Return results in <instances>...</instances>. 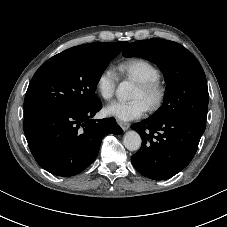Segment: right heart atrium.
<instances>
[{"label":"right heart atrium","instance_id":"d8ad5b80","mask_svg":"<svg viewBox=\"0 0 227 227\" xmlns=\"http://www.w3.org/2000/svg\"><path fill=\"white\" fill-rule=\"evenodd\" d=\"M117 75L110 69H103L97 76L95 87L98 95L104 100H110L116 91Z\"/></svg>","mask_w":227,"mask_h":227}]
</instances>
